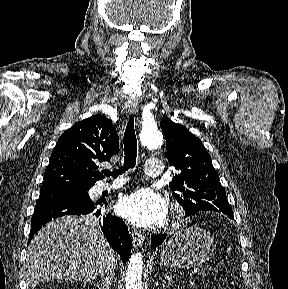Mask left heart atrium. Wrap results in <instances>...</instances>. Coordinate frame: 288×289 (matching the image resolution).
Here are the masks:
<instances>
[{
    "label": "left heart atrium",
    "mask_w": 288,
    "mask_h": 289,
    "mask_svg": "<svg viewBox=\"0 0 288 289\" xmlns=\"http://www.w3.org/2000/svg\"><path fill=\"white\" fill-rule=\"evenodd\" d=\"M117 210L121 216L138 226L159 225L168 213L166 201L148 188H141L120 198Z\"/></svg>",
    "instance_id": "39dd6f15"
}]
</instances>
